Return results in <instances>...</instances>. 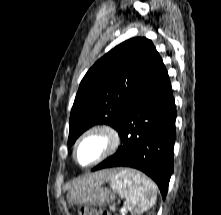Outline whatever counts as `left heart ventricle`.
Masks as SVG:
<instances>
[{"mask_svg": "<svg viewBox=\"0 0 221 215\" xmlns=\"http://www.w3.org/2000/svg\"><path fill=\"white\" fill-rule=\"evenodd\" d=\"M100 140L92 138L86 141L79 149V159L83 163L91 161L99 152L100 149Z\"/></svg>", "mask_w": 221, "mask_h": 215, "instance_id": "left-heart-ventricle-1", "label": "left heart ventricle"}]
</instances>
